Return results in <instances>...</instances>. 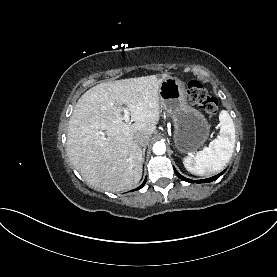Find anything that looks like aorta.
<instances>
[{
    "instance_id": "1",
    "label": "aorta",
    "mask_w": 277,
    "mask_h": 277,
    "mask_svg": "<svg viewBox=\"0 0 277 277\" xmlns=\"http://www.w3.org/2000/svg\"><path fill=\"white\" fill-rule=\"evenodd\" d=\"M166 152V145L163 142H156L153 145V153L156 155H163Z\"/></svg>"
}]
</instances>
